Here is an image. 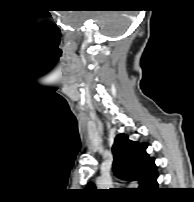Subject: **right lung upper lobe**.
Here are the masks:
<instances>
[{
    "mask_svg": "<svg viewBox=\"0 0 194 202\" xmlns=\"http://www.w3.org/2000/svg\"><path fill=\"white\" fill-rule=\"evenodd\" d=\"M146 148V143L131 141L124 134L116 136L112 147L114 174L124 180L138 181L142 191L157 187L156 165L146 153Z\"/></svg>",
    "mask_w": 194,
    "mask_h": 202,
    "instance_id": "cb5924a9",
    "label": "right lung upper lobe"
}]
</instances>
